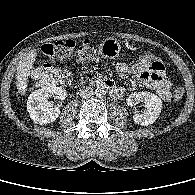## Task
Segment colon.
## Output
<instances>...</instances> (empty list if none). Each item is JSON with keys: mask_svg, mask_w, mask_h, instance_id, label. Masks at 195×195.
Wrapping results in <instances>:
<instances>
[{"mask_svg": "<svg viewBox=\"0 0 195 195\" xmlns=\"http://www.w3.org/2000/svg\"><path fill=\"white\" fill-rule=\"evenodd\" d=\"M42 53L50 59H66L76 55L81 61H91L95 57V49L89 40H84L79 45L73 40H62L45 43L41 48ZM148 72L162 75L165 73V67L162 61L154 54L146 51L139 56V61ZM33 79L37 84L44 87L66 86L71 82V73L60 67L51 64H45L37 68L32 73ZM184 96V90L177 87L173 92L175 100H181Z\"/></svg>", "mask_w": 195, "mask_h": 195, "instance_id": "obj_1", "label": "colon"}]
</instances>
